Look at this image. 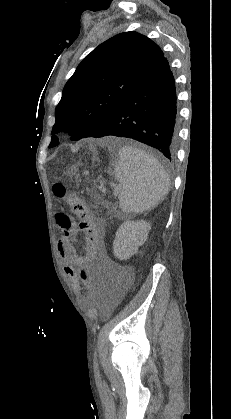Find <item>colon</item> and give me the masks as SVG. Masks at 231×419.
<instances>
[{"instance_id":"obj_1","label":"colon","mask_w":231,"mask_h":419,"mask_svg":"<svg viewBox=\"0 0 231 419\" xmlns=\"http://www.w3.org/2000/svg\"><path fill=\"white\" fill-rule=\"evenodd\" d=\"M53 191L57 198L69 207L70 213L78 218L77 228L85 233V254L81 260L78 278L82 280L84 290L91 297H96L97 293L101 292V285L88 273L90 262L98 258L100 250L99 240L96 239L94 218L84 200L76 194L68 193L63 184L55 183Z\"/></svg>"}]
</instances>
